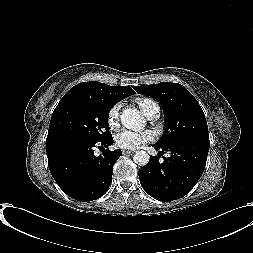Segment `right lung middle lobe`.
Masks as SVG:
<instances>
[{
	"label": "right lung middle lobe",
	"mask_w": 253,
	"mask_h": 253,
	"mask_svg": "<svg viewBox=\"0 0 253 253\" xmlns=\"http://www.w3.org/2000/svg\"><path fill=\"white\" fill-rule=\"evenodd\" d=\"M114 104L85 93H66L52 114L46 144L65 138L100 141L110 137L108 115Z\"/></svg>",
	"instance_id": "obj_1"
}]
</instances>
